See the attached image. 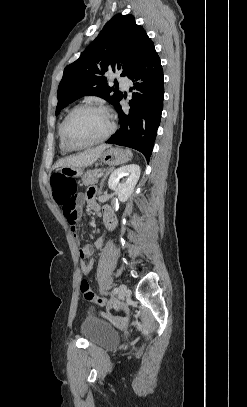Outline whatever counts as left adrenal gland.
I'll use <instances>...</instances> for the list:
<instances>
[{"label": "left adrenal gland", "mask_w": 247, "mask_h": 407, "mask_svg": "<svg viewBox=\"0 0 247 407\" xmlns=\"http://www.w3.org/2000/svg\"><path fill=\"white\" fill-rule=\"evenodd\" d=\"M111 171H112V169H108V170L106 171V173L104 174L103 179H102V181H101V183H100L99 193L102 192V189H103V186H104V181L106 180L107 176L110 174Z\"/></svg>", "instance_id": "1"}]
</instances>
